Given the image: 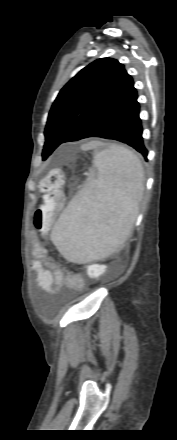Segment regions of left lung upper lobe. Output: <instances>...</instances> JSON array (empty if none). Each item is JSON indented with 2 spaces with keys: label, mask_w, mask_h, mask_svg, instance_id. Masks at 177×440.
<instances>
[{
  "label": "left lung upper lobe",
  "mask_w": 177,
  "mask_h": 440,
  "mask_svg": "<svg viewBox=\"0 0 177 440\" xmlns=\"http://www.w3.org/2000/svg\"><path fill=\"white\" fill-rule=\"evenodd\" d=\"M136 93L124 65L101 58L78 72L59 92L45 128V160L60 144L82 139Z\"/></svg>",
  "instance_id": "obj_1"
}]
</instances>
